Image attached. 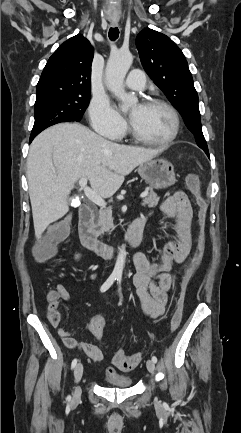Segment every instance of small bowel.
Returning a JSON list of instances; mask_svg holds the SVG:
<instances>
[{"instance_id": "1", "label": "small bowel", "mask_w": 241, "mask_h": 433, "mask_svg": "<svg viewBox=\"0 0 241 433\" xmlns=\"http://www.w3.org/2000/svg\"><path fill=\"white\" fill-rule=\"evenodd\" d=\"M160 211L174 220L176 238L167 241L161 249L159 259L151 260L138 254L133 259L136 272L133 276V285L143 312L155 319L162 316L166 310L169 292L173 285L170 275L176 264L183 263L189 256L192 245V207L187 195L177 191L167 197L160 205ZM96 277L89 274L90 279ZM59 300L71 303L68 290L61 284L50 292L48 296L47 317L50 324L57 329L64 344L69 348H80L92 361L103 359L100 343L103 338L105 318L95 315L90 320V331L98 344L78 342L72 332L65 331L61 326V315L58 311ZM111 369L107 370L109 373Z\"/></svg>"}]
</instances>
